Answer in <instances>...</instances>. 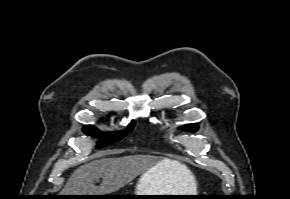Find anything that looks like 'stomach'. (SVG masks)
Instances as JSON below:
<instances>
[{"instance_id": "obj_1", "label": "stomach", "mask_w": 290, "mask_h": 199, "mask_svg": "<svg viewBox=\"0 0 290 199\" xmlns=\"http://www.w3.org/2000/svg\"><path fill=\"white\" fill-rule=\"evenodd\" d=\"M159 166H153L143 173L138 181L134 195H174L171 194L166 180L159 177ZM137 198H145L138 196ZM151 199H166V197H150ZM183 199L180 197H168V199Z\"/></svg>"}]
</instances>
